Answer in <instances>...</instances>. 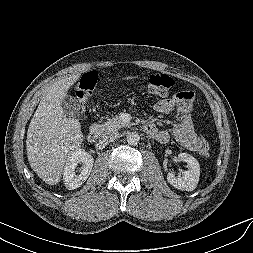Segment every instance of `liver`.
<instances>
[{
  "label": "liver",
  "instance_id": "obj_1",
  "mask_svg": "<svg viewBox=\"0 0 253 253\" xmlns=\"http://www.w3.org/2000/svg\"><path fill=\"white\" fill-rule=\"evenodd\" d=\"M80 76L81 71L51 84L28 127L26 150L29 164L49 185L60 182L65 163L84 140L81 123L67 117L61 105L68 90Z\"/></svg>",
  "mask_w": 253,
  "mask_h": 253
}]
</instances>
